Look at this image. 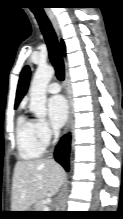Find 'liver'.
<instances>
[{
    "label": "liver",
    "instance_id": "6515ba94",
    "mask_svg": "<svg viewBox=\"0 0 123 219\" xmlns=\"http://www.w3.org/2000/svg\"><path fill=\"white\" fill-rule=\"evenodd\" d=\"M64 178V169L53 160L18 161L12 183V211H27L47 194H56Z\"/></svg>",
    "mask_w": 123,
    "mask_h": 219
}]
</instances>
